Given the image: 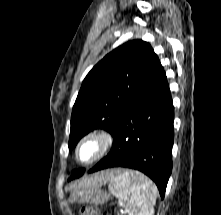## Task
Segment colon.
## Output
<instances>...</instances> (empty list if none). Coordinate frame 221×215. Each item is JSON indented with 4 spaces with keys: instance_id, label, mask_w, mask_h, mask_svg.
Here are the masks:
<instances>
[{
    "instance_id": "obj_1",
    "label": "colon",
    "mask_w": 221,
    "mask_h": 215,
    "mask_svg": "<svg viewBox=\"0 0 221 215\" xmlns=\"http://www.w3.org/2000/svg\"><path fill=\"white\" fill-rule=\"evenodd\" d=\"M81 215H107V214L102 213L99 209L95 207H85L82 208Z\"/></svg>"
}]
</instances>
